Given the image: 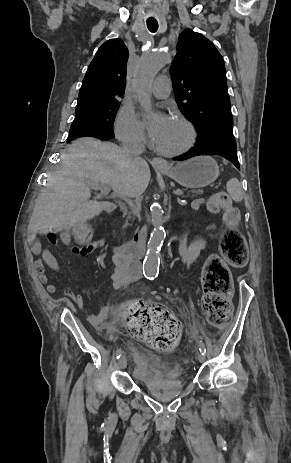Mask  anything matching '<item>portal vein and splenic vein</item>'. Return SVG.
I'll use <instances>...</instances> for the list:
<instances>
[{
  "label": "portal vein and splenic vein",
  "mask_w": 291,
  "mask_h": 463,
  "mask_svg": "<svg viewBox=\"0 0 291 463\" xmlns=\"http://www.w3.org/2000/svg\"><path fill=\"white\" fill-rule=\"evenodd\" d=\"M92 187L97 190H100L103 195H107L110 191V189L106 185L99 184V183H93ZM182 193L183 192L180 189L174 190V194L180 195Z\"/></svg>",
  "instance_id": "1"
}]
</instances>
